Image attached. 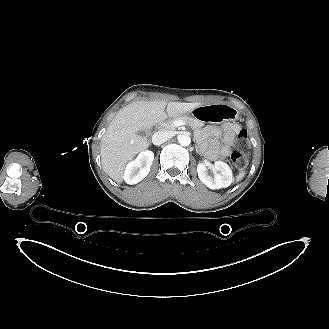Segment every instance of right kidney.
Wrapping results in <instances>:
<instances>
[{
  "label": "right kidney",
  "mask_w": 329,
  "mask_h": 329,
  "mask_svg": "<svg viewBox=\"0 0 329 329\" xmlns=\"http://www.w3.org/2000/svg\"><path fill=\"white\" fill-rule=\"evenodd\" d=\"M153 160L154 153L152 151L141 152L136 159L127 164L123 174L124 181L130 185L142 181L148 175Z\"/></svg>",
  "instance_id": "right-kidney-1"
}]
</instances>
